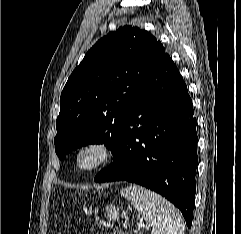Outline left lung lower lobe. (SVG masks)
I'll use <instances>...</instances> for the list:
<instances>
[{"mask_svg":"<svg viewBox=\"0 0 241 234\" xmlns=\"http://www.w3.org/2000/svg\"><path fill=\"white\" fill-rule=\"evenodd\" d=\"M113 162L95 182L129 181L172 202L192 225L198 164L196 118L179 70L165 53L127 112Z\"/></svg>","mask_w":241,"mask_h":234,"instance_id":"1","label":"left lung lower lobe"}]
</instances>
